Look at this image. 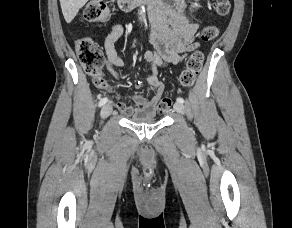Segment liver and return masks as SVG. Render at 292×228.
I'll list each match as a JSON object with an SVG mask.
<instances>
[{"instance_id": "1", "label": "liver", "mask_w": 292, "mask_h": 228, "mask_svg": "<svg viewBox=\"0 0 292 228\" xmlns=\"http://www.w3.org/2000/svg\"><path fill=\"white\" fill-rule=\"evenodd\" d=\"M88 0H60L64 19L70 23Z\"/></svg>"}]
</instances>
